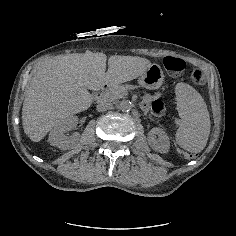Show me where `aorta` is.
Wrapping results in <instances>:
<instances>
[{
	"label": "aorta",
	"mask_w": 236,
	"mask_h": 236,
	"mask_svg": "<svg viewBox=\"0 0 236 236\" xmlns=\"http://www.w3.org/2000/svg\"><path fill=\"white\" fill-rule=\"evenodd\" d=\"M119 109L123 112H128L132 109V103L129 100H122L119 103Z\"/></svg>",
	"instance_id": "1"
}]
</instances>
